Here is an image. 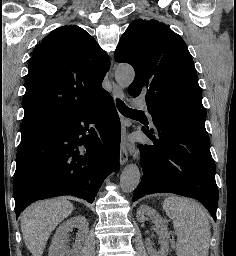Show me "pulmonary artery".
Here are the masks:
<instances>
[{
    "label": "pulmonary artery",
    "instance_id": "obj_1",
    "mask_svg": "<svg viewBox=\"0 0 236 256\" xmlns=\"http://www.w3.org/2000/svg\"><path fill=\"white\" fill-rule=\"evenodd\" d=\"M132 105H133V108H134V109H139L140 106H143L142 108H143L144 110H147L146 105H144V101H133V102H132Z\"/></svg>",
    "mask_w": 236,
    "mask_h": 256
}]
</instances>
